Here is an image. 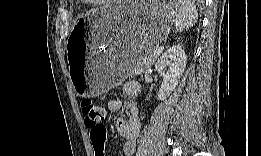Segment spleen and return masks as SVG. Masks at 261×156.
Wrapping results in <instances>:
<instances>
[{"instance_id":"3e777b00","label":"spleen","mask_w":261,"mask_h":156,"mask_svg":"<svg viewBox=\"0 0 261 156\" xmlns=\"http://www.w3.org/2000/svg\"><path fill=\"white\" fill-rule=\"evenodd\" d=\"M178 10L174 19V25L177 31H184L195 25L198 18L196 6L190 0H179Z\"/></svg>"}]
</instances>
